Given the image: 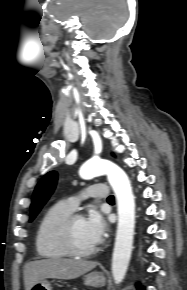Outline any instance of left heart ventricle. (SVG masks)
<instances>
[{
	"label": "left heart ventricle",
	"mask_w": 187,
	"mask_h": 290,
	"mask_svg": "<svg viewBox=\"0 0 187 290\" xmlns=\"http://www.w3.org/2000/svg\"><path fill=\"white\" fill-rule=\"evenodd\" d=\"M74 238L76 244L82 249L96 246L86 226L85 218L78 219L74 224Z\"/></svg>",
	"instance_id": "1"
}]
</instances>
